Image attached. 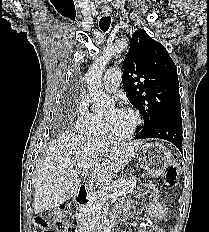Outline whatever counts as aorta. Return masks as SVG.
I'll return each instance as SVG.
<instances>
[{"label": "aorta", "mask_w": 209, "mask_h": 232, "mask_svg": "<svg viewBox=\"0 0 209 232\" xmlns=\"http://www.w3.org/2000/svg\"><path fill=\"white\" fill-rule=\"evenodd\" d=\"M127 49L126 42H119L113 47L106 50V52L94 61L88 69L86 82L91 97V104L94 111H103L113 104V101L106 95L104 90L101 88L102 76L105 67L109 60Z\"/></svg>", "instance_id": "aorta-1"}]
</instances>
